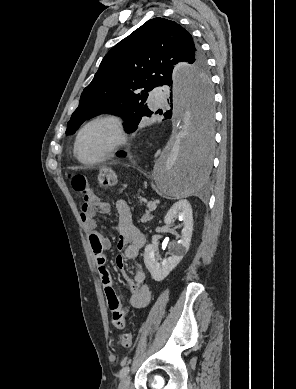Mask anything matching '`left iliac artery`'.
Masks as SVG:
<instances>
[{"label": "left iliac artery", "mask_w": 296, "mask_h": 389, "mask_svg": "<svg viewBox=\"0 0 296 389\" xmlns=\"http://www.w3.org/2000/svg\"><path fill=\"white\" fill-rule=\"evenodd\" d=\"M129 370H130V369H129V366L123 367V368L120 370V373H119L120 378H124V377L128 374Z\"/></svg>", "instance_id": "left-iliac-artery-1"}]
</instances>
